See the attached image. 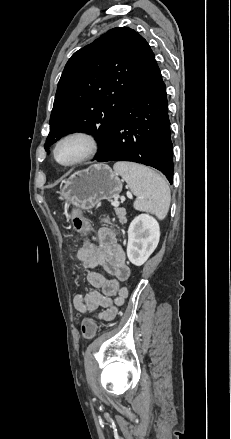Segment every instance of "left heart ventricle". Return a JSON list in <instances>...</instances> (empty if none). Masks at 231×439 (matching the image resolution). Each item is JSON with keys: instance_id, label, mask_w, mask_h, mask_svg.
I'll list each match as a JSON object with an SVG mask.
<instances>
[{"instance_id": "left-heart-ventricle-1", "label": "left heart ventricle", "mask_w": 231, "mask_h": 439, "mask_svg": "<svg viewBox=\"0 0 231 439\" xmlns=\"http://www.w3.org/2000/svg\"><path fill=\"white\" fill-rule=\"evenodd\" d=\"M86 141L80 138H73L63 142L57 152V157L62 163L72 162L87 151Z\"/></svg>"}]
</instances>
